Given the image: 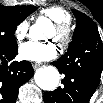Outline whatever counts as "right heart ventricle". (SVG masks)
I'll list each match as a JSON object with an SVG mask.
<instances>
[{
	"instance_id": "obj_1",
	"label": "right heart ventricle",
	"mask_w": 103,
	"mask_h": 103,
	"mask_svg": "<svg viewBox=\"0 0 103 103\" xmlns=\"http://www.w3.org/2000/svg\"><path fill=\"white\" fill-rule=\"evenodd\" d=\"M41 15L49 18L54 23H68L70 22V14L59 6H52L41 11Z\"/></svg>"
}]
</instances>
